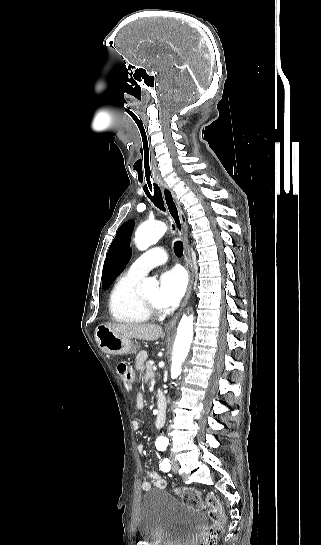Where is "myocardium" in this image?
Segmentation results:
<instances>
[{"label": "myocardium", "instance_id": "1", "mask_svg": "<svg viewBox=\"0 0 321 545\" xmlns=\"http://www.w3.org/2000/svg\"><path fill=\"white\" fill-rule=\"evenodd\" d=\"M136 301L139 305V307L141 308L142 311H144L145 313L147 314H150V315H155L157 314L158 312V309L156 306H150L148 304H146L139 296V290H138V287L136 289Z\"/></svg>", "mask_w": 321, "mask_h": 545}]
</instances>
